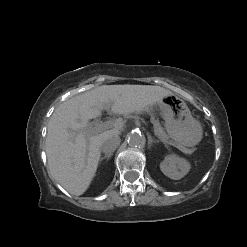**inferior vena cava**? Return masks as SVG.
<instances>
[{
    "label": "inferior vena cava",
    "instance_id": "inferior-vena-cava-1",
    "mask_svg": "<svg viewBox=\"0 0 247 247\" xmlns=\"http://www.w3.org/2000/svg\"><path fill=\"white\" fill-rule=\"evenodd\" d=\"M120 144L119 136H110L105 138L100 146V150L105 154H112Z\"/></svg>",
    "mask_w": 247,
    "mask_h": 247
}]
</instances>
